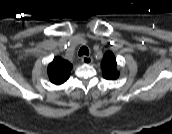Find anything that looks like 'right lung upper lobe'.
I'll return each mask as SVG.
<instances>
[{"label":"right lung upper lobe","instance_id":"obj_1","mask_svg":"<svg viewBox=\"0 0 172 134\" xmlns=\"http://www.w3.org/2000/svg\"><path fill=\"white\" fill-rule=\"evenodd\" d=\"M72 67L67 60L61 57L54 58L47 69L50 81L56 85L63 84L68 80Z\"/></svg>","mask_w":172,"mask_h":134}]
</instances>
